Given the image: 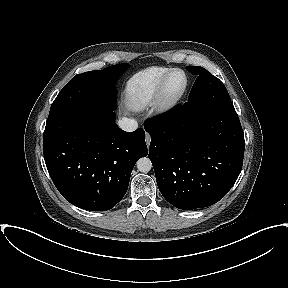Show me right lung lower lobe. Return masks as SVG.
<instances>
[{
	"mask_svg": "<svg viewBox=\"0 0 288 288\" xmlns=\"http://www.w3.org/2000/svg\"><path fill=\"white\" fill-rule=\"evenodd\" d=\"M44 159L71 204L90 211L113 208L128 189L132 169L147 156L142 128L125 132L112 110L83 107L46 123Z\"/></svg>",
	"mask_w": 288,
	"mask_h": 288,
	"instance_id": "right-lung-lower-lobe-1",
	"label": "right lung lower lobe"
}]
</instances>
